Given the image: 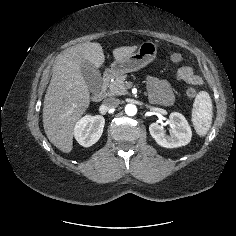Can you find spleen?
Listing matches in <instances>:
<instances>
[{
	"label": "spleen",
	"mask_w": 236,
	"mask_h": 236,
	"mask_svg": "<svg viewBox=\"0 0 236 236\" xmlns=\"http://www.w3.org/2000/svg\"><path fill=\"white\" fill-rule=\"evenodd\" d=\"M212 110L210 95L205 91L199 92L192 109V122L198 135L205 136L209 131L212 123Z\"/></svg>",
	"instance_id": "spleen-1"
}]
</instances>
